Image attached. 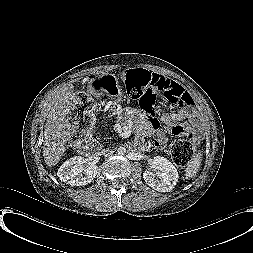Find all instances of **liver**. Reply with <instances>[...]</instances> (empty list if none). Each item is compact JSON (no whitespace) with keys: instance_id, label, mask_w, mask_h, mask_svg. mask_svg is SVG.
Here are the masks:
<instances>
[{"instance_id":"6515ba94","label":"liver","mask_w":253,"mask_h":253,"mask_svg":"<svg viewBox=\"0 0 253 253\" xmlns=\"http://www.w3.org/2000/svg\"><path fill=\"white\" fill-rule=\"evenodd\" d=\"M72 84L63 86L55 94L44 128L43 156L48 167L55 166L66 150L71 135L70 100L73 97Z\"/></svg>"}]
</instances>
